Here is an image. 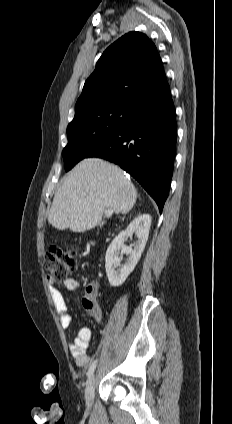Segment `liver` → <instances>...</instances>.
<instances>
[{
    "instance_id": "1",
    "label": "liver",
    "mask_w": 232,
    "mask_h": 424,
    "mask_svg": "<svg viewBox=\"0 0 232 424\" xmlns=\"http://www.w3.org/2000/svg\"><path fill=\"white\" fill-rule=\"evenodd\" d=\"M136 199V189L121 168L100 158H86L64 177L48 222L59 230L85 232L101 222L105 209L126 214Z\"/></svg>"
}]
</instances>
